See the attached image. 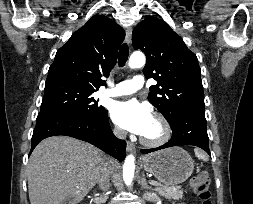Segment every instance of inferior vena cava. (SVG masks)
<instances>
[{"instance_id": "obj_1", "label": "inferior vena cava", "mask_w": 253, "mask_h": 204, "mask_svg": "<svg viewBox=\"0 0 253 204\" xmlns=\"http://www.w3.org/2000/svg\"><path fill=\"white\" fill-rule=\"evenodd\" d=\"M115 134L120 138V139H125L126 138V132L122 131L120 129L116 130ZM113 170L112 163L110 161H107L104 164V167L102 169L101 175L99 177L98 183L100 189L103 191H107L110 187V174Z\"/></svg>"}]
</instances>
